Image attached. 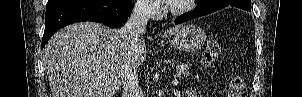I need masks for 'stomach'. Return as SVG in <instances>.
Listing matches in <instances>:
<instances>
[{"mask_svg": "<svg viewBox=\"0 0 302 97\" xmlns=\"http://www.w3.org/2000/svg\"><path fill=\"white\" fill-rule=\"evenodd\" d=\"M206 34L203 29L195 25L182 27L169 41L174 48L187 52L199 51L206 41Z\"/></svg>", "mask_w": 302, "mask_h": 97, "instance_id": "stomach-1", "label": "stomach"}]
</instances>
